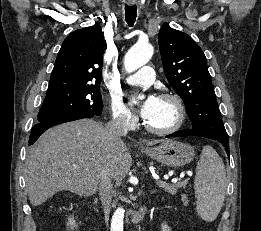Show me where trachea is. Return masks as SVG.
<instances>
[{
  "mask_svg": "<svg viewBox=\"0 0 261 231\" xmlns=\"http://www.w3.org/2000/svg\"><path fill=\"white\" fill-rule=\"evenodd\" d=\"M137 16V8L135 6H125V19L129 26H133Z\"/></svg>",
  "mask_w": 261,
  "mask_h": 231,
  "instance_id": "1",
  "label": "trachea"
}]
</instances>
